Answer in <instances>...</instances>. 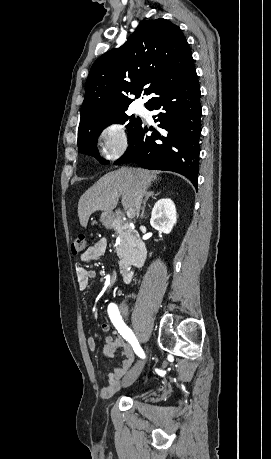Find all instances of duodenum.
I'll return each instance as SVG.
<instances>
[{
	"mask_svg": "<svg viewBox=\"0 0 271 459\" xmlns=\"http://www.w3.org/2000/svg\"><path fill=\"white\" fill-rule=\"evenodd\" d=\"M111 225L119 233L130 239L134 250L133 266L135 268L143 266L147 258V247L139 232L134 227L117 217L111 218ZM124 278L126 281H129L131 279V273H126Z\"/></svg>",
	"mask_w": 271,
	"mask_h": 459,
	"instance_id": "duodenum-1",
	"label": "duodenum"
}]
</instances>
